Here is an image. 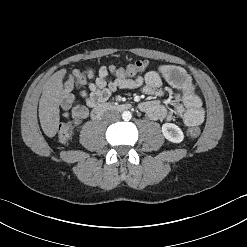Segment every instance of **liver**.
<instances>
[{"label":"liver","instance_id":"obj_1","mask_svg":"<svg viewBox=\"0 0 247 247\" xmlns=\"http://www.w3.org/2000/svg\"><path fill=\"white\" fill-rule=\"evenodd\" d=\"M66 70L54 73L45 83L39 102V119L43 132L54 137L59 125V104L63 97V78Z\"/></svg>","mask_w":247,"mask_h":247}]
</instances>
